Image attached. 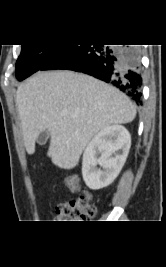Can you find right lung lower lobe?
Returning <instances> with one entry per match:
<instances>
[{
	"label": "right lung lower lobe",
	"instance_id": "1",
	"mask_svg": "<svg viewBox=\"0 0 166 267\" xmlns=\"http://www.w3.org/2000/svg\"><path fill=\"white\" fill-rule=\"evenodd\" d=\"M52 69L91 75L142 104V70L135 47L109 49L102 45H62L39 70Z\"/></svg>",
	"mask_w": 166,
	"mask_h": 267
}]
</instances>
